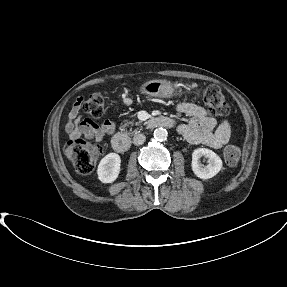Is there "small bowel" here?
<instances>
[{"label": "small bowel", "instance_id": "small-bowel-1", "mask_svg": "<svg viewBox=\"0 0 287 287\" xmlns=\"http://www.w3.org/2000/svg\"><path fill=\"white\" fill-rule=\"evenodd\" d=\"M80 106L74 104L67 115L65 129L73 137L81 135L95 139L100 142L105 135H112L116 131V125L112 121L95 123L90 119H82L79 116ZM176 110L184 113L190 118L187 124L179 126V133L192 144H202L214 149H219L225 145L231 135L230 124L227 120L219 124L210 117L205 109L191 102H179Z\"/></svg>", "mask_w": 287, "mask_h": 287}]
</instances>
